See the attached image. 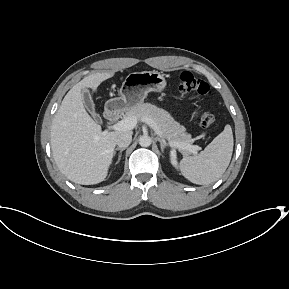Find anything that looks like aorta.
Wrapping results in <instances>:
<instances>
[{
  "label": "aorta",
  "instance_id": "762f6f07",
  "mask_svg": "<svg viewBox=\"0 0 289 289\" xmlns=\"http://www.w3.org/2000/svg\"><path fill=\"white\" fill-rule=\"evenodd\" d=\"M151 138L148 135H143L139 138V144L142 147H148L151 145Z\"/></svg>",
  "mask_w": 289,
  "mask_h": 289
}]
</instances>
